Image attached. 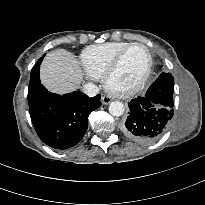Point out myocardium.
Instances as JSON below:
<instances>
[{"instance_id": "f54148a6", "label": "myocardium", "mask_w": 205, "mask_h": 205, "mask_svg": "<svg viewBox=\"0 0 205 205\" xmlns=\"http://www.w3.org/2000/svg\"><path fill=\"white\" fill-rule=\"evenodd\" d=\"M133 47H142L146 50V52L148 54V60H149L148 66H147L144 74L142 75V77L134 85L127 87V88L114 87L111 84V79L114 76V74L116 73V71L118 70L120 63H121L123 57L125 56V54ZM152 70H153V56H152L150 49L143 43H131L130 45L125 47L123 50H121L117 54V56L113 59V61L111 62V64L107 68V70L105 71V73L102 77L104 88L106 89L107 92H109L110 94H112L114 96H118V97L131 96V95L139 92L145 86V84L147 83V81L149 80V78L151 76Z\"/></svg>"}]
</instances>
